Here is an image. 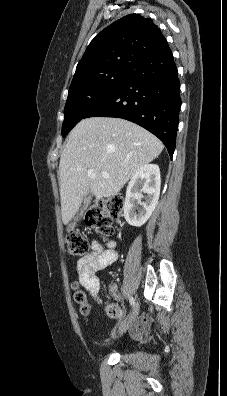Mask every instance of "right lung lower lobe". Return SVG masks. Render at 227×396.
<instances>
[{"label": "right lung lower lobe", "mask_w": 227, "mask_h": 396, "mask_svg": "<svg viewBox=\"0 0 227 396\" xmlns=\"http://www.w3.org/2000/svg\"><path fill=\"white\" fill-rule=\"evenodd\" d=\"M181 106L180 82L169 46L141 61L124 82L92 108L88 117H116L157 136L172 157Z\"/></svg>", "instance_id": "1"}]
</instances>
